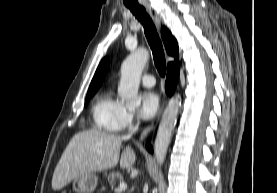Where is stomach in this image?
I'll use <instances>...</instances> for the list:
<instances>
[{
	"label": "stomach",
	"instance_id": "stomach-1",
	"mask_svg": "<svg viewBox=\"0 0 277 193\" xmlns=\"http://www.w3.org/2000/svg\"><path fill=\"white\" fill-rule=\"evenodd\" d=\"M97 182L98 178L94 172L84 173L73 179V189L77 193H92Z\"/></svg>",
	"mask_w": 277,
	"mask_h": 193
}]
</instances>
